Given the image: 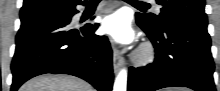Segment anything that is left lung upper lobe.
Returning <instances> with one entry per match:
<instances>
[{
  "instance_id": "5c2ea615",
  "label": "left lung upper lobe",
  "mask_w": 220,
  "mask_h": 91,
  "mask_svg": "<svg viewBox=\"0 0 220 91\" xmlns=\"http://www.w3.org/2000/svg\"><path fill=\"white\" fill-rule=\"evenodd\" d=\"M157 3L162 6L159 16L138 13L153 29H162L179 20L207 25L205 0H157Z\"/></svg>"
}]
</instances>
